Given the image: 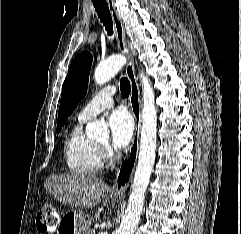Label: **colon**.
<instances>
[{
	"label": "colon",
	"mask_w": 241,
	"mask_h": 234,
	"mask_svg": "<svg viewBox=\"0 0 241 234\" xmlns=\"http://www.w3.org/2000/svg\"><path fill=\"white\" fill-rule=\"evenodd\" d=\"M36 225L41 234L53 232L58 228L59 218L51 204H45L41 208L36 218Z\"/></svg>",
	"instance_id": "obj_1"
}]
</instances>
